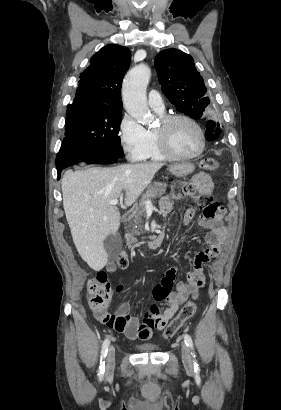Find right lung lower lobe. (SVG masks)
<instances>
[{"label": "right lung lower lobe", "instance_id": "98d812e1", "mask_svg": "<svg viewBox=\"0 0 281 410\" xmlns=\"http://www.w3.org/2000/svg\"><path fill=\"white\" fill-rule=\"evenodd\" d=\"M117 158L118 157L116 156H93V157L87 156V157H75V158L69 159L57 167L58 179L60 178V173L63 169L69 166H72L74 164H77L80 162H86L89 164H109V163L116 162Z\"/></svg>", "mask_w": 281, "mask_h": 410}]
</instances>
